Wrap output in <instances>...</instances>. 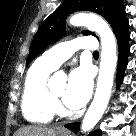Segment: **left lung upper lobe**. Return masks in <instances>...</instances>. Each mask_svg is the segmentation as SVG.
I'll list each match as a JSON object with an SVG mask.
<instances>
[{
    "label": "left lung upper lobe",
    "instance_id": "1",
    "mask_svg": "<svg viewBox=\"0 0 136 136\" xmlns=\"http://www.w3.org/2000/svg\"><path fill=\"white\" fill-rule=\"evenodd\" d=\"M82 10L93 11L103 16L113 31L126 18L122 0H66L41 24L32 42L26 64L65 34V19L68 15ZM83 34L90 35L91 32L83 31Z\"/></svg>",
    "mask_w": 136,
    "mask_h": 136
}]
</instances>
